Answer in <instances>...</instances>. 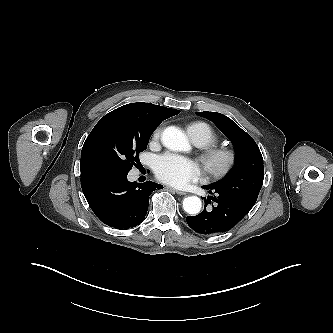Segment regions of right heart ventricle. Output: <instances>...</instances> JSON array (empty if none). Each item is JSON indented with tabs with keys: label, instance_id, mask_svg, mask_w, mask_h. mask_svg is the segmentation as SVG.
Masks as SVG:
<instances>
[{
	"label": "right heart ventricle",
	"instance_id": "e07e8e85",
	"mask_svg": "<svg viewBox=\"0 0 333 333\" xmlns=\"http://www.w3.org/2000/svg\"><path fill=\"white\" fill-rule=\"evenodd\" d=\"M187 132L192 141L202 147L215 144L218 140L214 129L209 124L202 121L191 123L187 128Z\"/></svg>",
	"mask_w": 333,
	"mask_h": 333
}]
</instances>
